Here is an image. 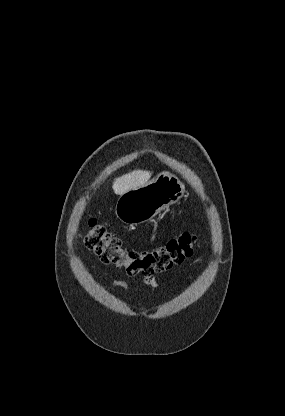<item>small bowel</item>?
<instances>
[{
	"mask_svg": "<svg viewBox=\"0 0 285 416\" xmlns=\"http://www.w3.org/2000/svg\"><path fill=\"white\" fill-rule=\"evenodd\" d=\"M144 283L146 285H148L149 287H151V288H156L157 287V283H156L155 279L151 276L145 277ZM113 285L116 286V287L124 288V289H130V286L124 281H114Z\"/></svg>",
	"mask_w": 285,
	"mask_h": 416,
	"instance_id": "1",
	"label": "small bowel"
}]
</instances>
